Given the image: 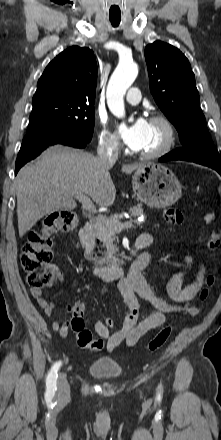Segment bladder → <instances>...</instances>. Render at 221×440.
I'll return each instance as SVG.
<instances>
[{
  "mask_svg": "<svg viewBox=\"0 0 221 440\" xmlns=\"http://www.w3.org/2000/svg\"><path fill=\"white\" fill-rule=\"evenodd\" d=\"M88 371L98 379L113 380L121 376L123 368L112 358H97L91 362Z\"/></svg>",
  "mask_w": 221,
  "mask_h": 440,
  "instance_id": "bladder-1",
  "label": "bladder"
}]
</instances>
